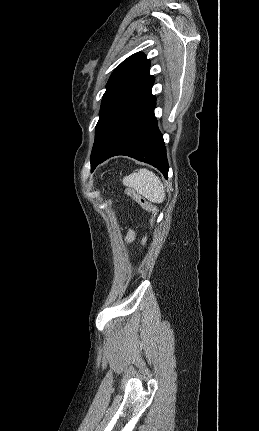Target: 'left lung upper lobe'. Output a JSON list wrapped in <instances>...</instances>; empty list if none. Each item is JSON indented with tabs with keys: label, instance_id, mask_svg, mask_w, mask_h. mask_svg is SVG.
Listing matches in <instances>:
<instances>
[{
	"label": "left lung upper lobe",
	"instance_id": "left-lung-upper-lobe-1",
	"mask_svg": "<svg viewBox=\"0 0 259 431\" xmlns=\"http://www.w3.org/2000/svg\"><path fill=\"white\" fill-rule=\"evenodd\" d=\"M149 69L150 60L138 52L125 59L110 76L101 103L91 157L123 117L151 95L154 77L149 74Z\"/></svg>",
	"mask_w": 259,
	"mask_h": 431
}]
</instances>
